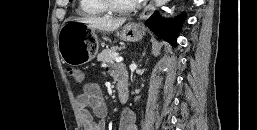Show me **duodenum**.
<instances>
[{"label":"duodenum","mask_w":257,"mask_h":130,"mask_svg":"<svg viewBox=\"0 0 257 130\" xmlns=\"http://www.w3.org/2000/svg\"><path fill=\"white\" fill-rule=\"evenodd\" d=\"M117 91H118L119 101L122 104L126 103L129 98V89H128L127 81H125L124 79L117 80Z\"/></svg>","instance_id":"obj_1"}]
</instances>
